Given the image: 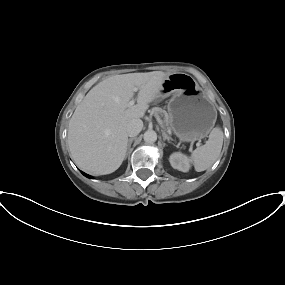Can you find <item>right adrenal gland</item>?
I'll return each instance as SVG.
<instances>
[{"mask_svg":"<svg viewBox=\"0 0 285 285\" xmlns=\"http://www.w3.org/2000/svg\"><path fill=\"white\" fill-rule=\"evenodd\" d=\"M135 138H130L129 140H128V145H127V150L129 151V149H130V147H131V144H132V142H133V140H134Z\"/></svg>","mask_w":285,"mask_h":285,"instance_id":"1","label":"right adrenal gland"}]
</instances>
